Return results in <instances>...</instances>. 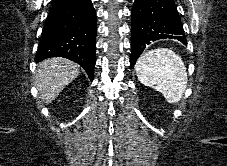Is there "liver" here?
I'll list each match as a JSON object with an SVG mask.
<instances>
[{"instance_id":"obj_1","label":"liver","mask_w":227,"mask_h":166,"mask_svg":"<svg viewBox=\"0 0 227 166\" xmlns=\"http://www.w3.org/2000/svg\"><path fill=\"white\" fill-rule=\"evenodd\" d=\"M79 72L80 66L66 58L53 57L42 61L35 80L41 101L51 103Z\"/></svg>"}]
</instances>
